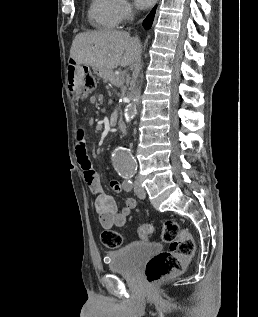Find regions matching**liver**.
I'll list each match as a JSON object with an SVG mask.
<instances>
[{"label":"liver","instance_id":"1","mask_svg":"<svg viewBox=\"0 0 258 317\" xmlns=\"http://www.w3.org/2000/svg\"><path fill=\"white\" fill-rule=\"evenodd\" d=\"M140 46L139 38L130 36L125 30H91L76 34L70 56L78 64L95 66L103 72L119 64H133L140 54Z\"/></svg>","mask_w":258,"mask_h":317}]
</instances>
